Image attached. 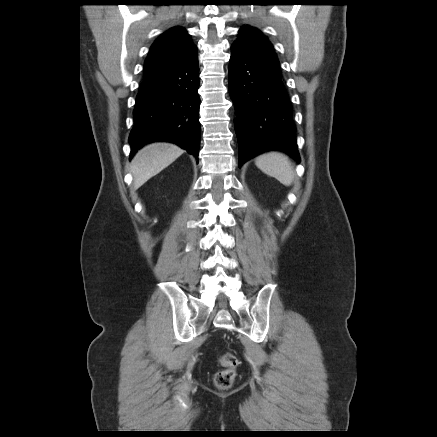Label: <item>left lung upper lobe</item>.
<instances>
[{"label":"left lung upper lobe","instance_id":"1","mask_svg":"<svg viewBox=\"0 0 437 437\" xmlns=\"http://www.w3.org/2000/svg\"><path fill=\"white\" fill-rule=\"evenodd\" d=\"M261 59L267 66L281 74L280 63L274 52L273 45L256 28L243 26L239 31V38L234 42Z\"/></svg>","mask_w":437,"mask_h":437}]
</instances>
